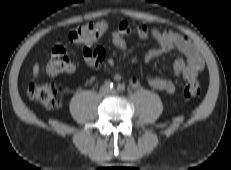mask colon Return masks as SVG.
<instances>
[{"label":"colon","instance_id":"5ec220e1","mask_svg":"<svg viewBox=\"0 0 231 170\" xmlns=\"http://www.w3.org/2000/svg\"><path fill=\"white\" fill-rule=\"evenodd\" d=\"M107 26L108 24L105 21L89 22L81 25L69 34V41L77 45L91 44L105 33ZM73 70L74 63L69 58L65 47L62 45L55 46L47 64V72L50 75H59L70 73ZM27 93L31 100L46 108L54 109L61 106V88L52 81L42 84L32 83L29 85ZM182 93L189 98L199 95V83L194 79L189 80L184 85Z\"/></svg>","mask_w":231,"mask_h":170}]
</instances>
